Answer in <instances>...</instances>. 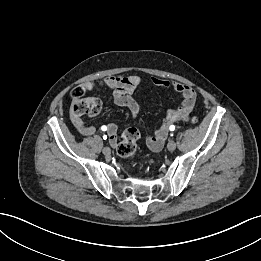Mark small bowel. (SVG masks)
I'll use <instances>...</instances> for the list:
<instances>
[{"label": "small bowel", "mask_w": 261, "mask_h": 261, "mask_svg": "<svg viewBox=\"0 0 261 261\" xmlns=\"http://www.w3.org/2000/svg\"><path fill=\"white\" fill-rule=\"evenodd\" d=\"M142 79L137 75L130 76H110L100 82L89 81L81 86L83 96L95 89H107L112 91L114 100L117 104L128 108L132 117H137L140 113V104L133 98V92L142 84ZM152 82L159 87L172 88L180 93L183 97L182 104L178 108V113L181 116H187L193 110L196 103V93L188 85L178 81H168L159 77H152ZM76 103L74 99L73 105ZM72 105V106H73ZM71 121L75 129L83 136H91L95 134V127L87 125L81 115L73 111L71 113ZM105 126V125H104ZM107 134L111 145L117 144V125L109 123L107 126ZM168 135V125H160L154 132L153 136L147 139L149 148L153 151L162 149L166 137Z\"/></svg>", "instance_id": "c3829d8e"}]
</instances>
